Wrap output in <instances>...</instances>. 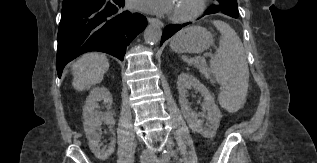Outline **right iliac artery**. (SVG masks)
Listing matches in <instances>:
<instances>
[{
    "mask_svg": "<svg viewBox=\"0 0 317 163\" xmlns=\"http://www.w3.org/2000/svg\"><path fill=\"white\" fill-rule=\"evenodd\" d=\"M164 162V159L163 158H160L157 160V163H163Z\"/></svg>",
    "mask_w": 317,
    "mask_h": 163,
    "instance_id": "82829eb1",
    "label": "right iliac artery"
}]
</instances>
